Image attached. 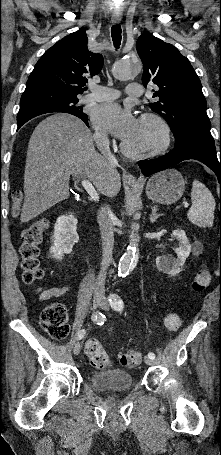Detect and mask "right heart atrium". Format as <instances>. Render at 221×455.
<instances>
[{"label":"right heart atrium","mask_w":221,"mask_h":455,"mask_svg":"<svg viewBox=\"0 0 221 455\" xmlns=\"http://www.w3.org/2000/svg\"><path fill=\"white\" fill-rule=\"evenodd\" d=\"M94 138L100 149H105L108 146L109 139L104 132L97 130Z\"/></svg>","instance_id":"d8ad5b80"}]
</instances>
